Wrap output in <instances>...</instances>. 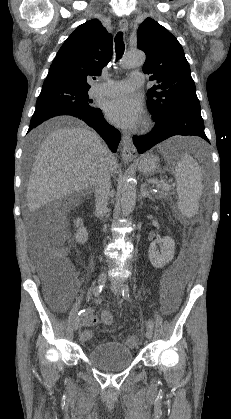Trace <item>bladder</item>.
Instances as JSON below:
<instances>
[{"instance_id":"31cf9c89","label":"bladder","mask_w":231,"mask_h":419,"mask_svg":"<svg viewBox=\"0 0 231 419\" xmlns=\"http://www.w3.org/2000/svg\"><path fill=\"white\" fill-rule=\"evenodd\" d=\"M88 362L102 371H120L133 361L131 349L121 342L105 341L90 348L87 352Z\"/></svg>"}]
</instances>
